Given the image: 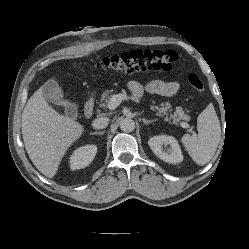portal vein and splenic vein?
<instances>
[{
  "instance_id": "1",
  "label": "portal vein and splenic vein",
  "mask_w": 249,
  "mask_h": 249,
  "mask_svg": "<svg viewBox=\"0 0 249 249\" xmlns=\"http://www.w3.org/2000/svg\"><path fill=\"white\" fill-rule=\"evenodd\" d=\"M125 99H127V96L125 94H115V95H113L110 98L109 102H108V108L110 110L116 109L120 105L122 100H125ZM180 125L183 128H189V125L187 123H185V122H182ZM190 132L194 133L191 130H190Z\"/></svg>"
}]
</instances>
